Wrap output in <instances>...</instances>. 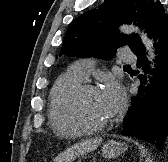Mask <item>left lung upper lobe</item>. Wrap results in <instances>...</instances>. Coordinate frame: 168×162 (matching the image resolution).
Wrapping results in <instances>:
<instances>
[{
	"label": "left lung upper lobe",
	"mask_w": 168,
	"mask_h": 162,
	"mask_svg": "<svg viewBox=\"0 0 168 162\" xmlns=\"http://www.w3.org/2000/svg\"><path fill=\"white\" fill-rule=\"evenodd\" d=\"M166 15L157 0H106L97 9L76 18L69 26L60 55L111 59L116 49L128 45L132 51L141 46L137 34L118 32L122 24H135L149 34L154 24Z\"/></svg>",
	"instance_id": "5c2ea615"
}]
</instances>
